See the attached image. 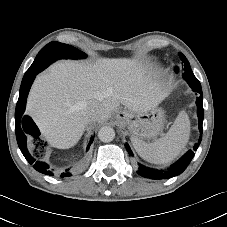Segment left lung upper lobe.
Instances as JSON below:
<instances>
[{"instance_id": "5c2ea615", "label": "left lung upper lobe", "mask_w": 227, "mask_h": 227, "mask_svg": "<svg viewBox=\"0 0 227 227\" xmlns=\"http://www.w3.org/2000/svg\"><path fill=\"white\" fill-rule=\"evenodd\" d=\"M180 57L184 65V73L182 74V77L184 78V80H186V82L194 91L202 90L201 84L198 81V79H196V77L194 76L187 58L182 53H180Z\"/></svg>"}]
</instances>
